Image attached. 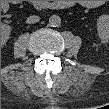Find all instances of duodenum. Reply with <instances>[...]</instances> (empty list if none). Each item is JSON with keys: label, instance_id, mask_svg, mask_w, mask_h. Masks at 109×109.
I'll use <instances>...</instances> for the list:
<instances>
[{"label": "duodenum", "instance_id": "duodenum-1", "mask_svg": "<svg viewBox=\"0 0 109 109\" xmlns=\"http://www.w3.org/2000/svg\"><path fill=\"white\" fill-rule=\"evenodd\" d=\"M13 2H16V1H13ZM31 4L37 10H43V9H46V8L53 5V4H51V3L47 2V1H32Z\"/></svg>", "mask_w": 109, "mask_h": 109}]
</instances>
